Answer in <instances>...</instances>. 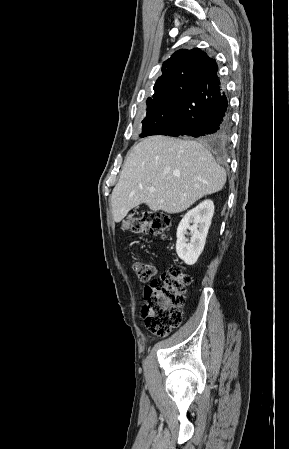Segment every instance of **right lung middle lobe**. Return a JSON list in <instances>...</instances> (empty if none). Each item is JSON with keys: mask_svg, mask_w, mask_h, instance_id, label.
I'll return each mask as SVG.
<instances>
[{"mask_svg": "<svg viewBox=\"0 0 289 449\" xmlns=\"http://www.w3.org/2000/svg\"><path fill=\"white\" fill-rule=\"evenodd\" d=\"M147 113L142 121L140 137L153 135L159 125L172 121L176 117L173 99L170 93L164 92L147 99Z\"/></svg>", "mask_w": 289, "mask_h": 449, "instance_id": "right-lung-middle-lobe-1", "label": "right lung middle lobe"}]
</instances>
